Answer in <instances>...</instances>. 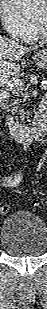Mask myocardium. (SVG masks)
<instances>
[{"mask_svg": "<svg viewBox=\"0 0 47 309\" xmlns=\"http://www.w3.org/2000/svg\"><path fill=\"white\" fill-rule=\"evenodd\" d=\"M33 26H34V29L36 31V34L39 36V37H43V34L46 30V26L43 28L41 27L39 24L37 23H33Z\"/></svg>", "mask_w": 47, "mask_h": 309, "instance_id": "myocardium-1", "label": "myocardium"}]
</instances>
